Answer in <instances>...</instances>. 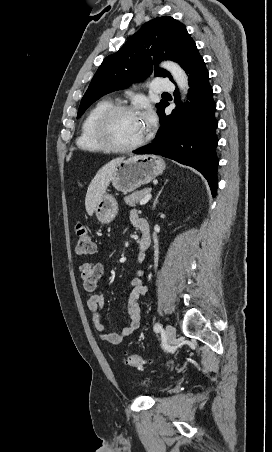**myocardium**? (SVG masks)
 Masks as SVG:
<instances>
[{"mask_svg":"<svg viewBox=\"0 0 272 452\" xmlns=\"http://www.w3.org/2000/svg\"><path fill=\"white\" fill-rule=\"evenodd\" d=\"M122 113H138L136 107L130 105L116 104L104 109L95 122V134L103 146L110 151L126 152L137 149L144 145L150 136L149 131L132 144H121L112 135V124L116 116Z\"/></svg>","mask_w":272,"mask_h":452,"instance_id":"obj_1","label":"myocardium"}]
</instances>
